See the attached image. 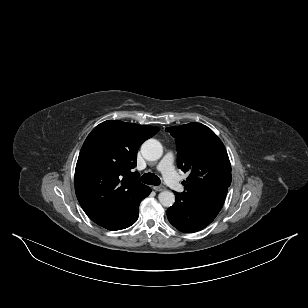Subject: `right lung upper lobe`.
I'll return each instance as SVG.
<instances>
[{
  "mask_svg": "<svg viewBox=\"0 0 308 308\" xmlns=\"http://www.w3.org/2000/svg\"><path fill=\"white\" fill-rule=\"evenodd\" d=\"M158 127L108 120L86 138L76 164L75 192L87 216L114 229L132 215L146 185L138 181L137 151Z\"/></svg>",
  "mask_w": 308,
  "mask_h": 308,
  "instance_id": "right-lung-upper-lobe-1",
  "label": "right lung upper lobe"
}]
</instances>
